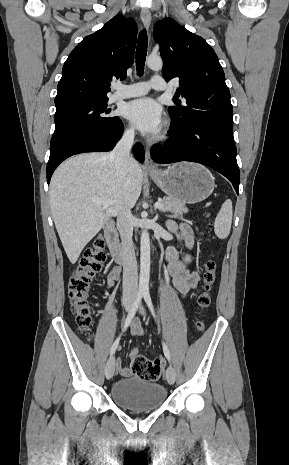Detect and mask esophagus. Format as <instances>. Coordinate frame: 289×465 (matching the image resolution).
I'll list each match as a JSON object with an SVG mask.
<instances>
[{"mask_svg":"<svg viewBox=\"0 0 289 465\" xmlns=\"http://www.w3.org/2000/svg\"><path fill=\"white\" fill-rule=\"evenodd\" d=\"M141 20L144 25V27L148 30L151 24V13L148 9H143L141 11ZM145 168L148 171H156L157 166L155 165L151 154H150V148L146 147V152H145Z\"/></svg>","mask_w":289,"mask_h":465,"instance_id":"esophagus-1","label":"esophagus"}]
</instances>
